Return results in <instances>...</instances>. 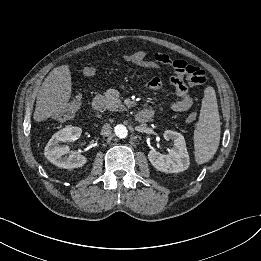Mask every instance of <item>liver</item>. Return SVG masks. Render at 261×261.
I'll list each match as a JSON object with an SVG mask.
<instances>
[{
	"mask_svg": "<svg viewBox=\"0 0 261 261\" xmlns=\"http://www.w3.org/2000/svg\"><path fill=\"white\" fill-rule=\"evenodd\" d=\"M72 91L71 72L68 65L54 68L45 78L37 95L33 118L44 121L68 105Z\"/></svg>",
	"mask_w": 261,
	"mask_h": 261,
	"instance_id": "1",
	"label": "liver"
}]
</instances>
